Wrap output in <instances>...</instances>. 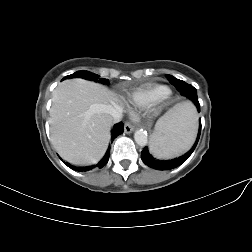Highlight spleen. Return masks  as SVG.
<instances>
[{"mask_svg":"<svg viewBox=\"0 0 252 252\" xmlns=\"http://www.w3.org/2000/svg\"><path fill=\"white\" fill-rule=\"evenodd\" d=\"M197 133V115L189 103L170 109L157 124L150 140V152L159 159H169L186 152Z\"/></svg>","mask_w":252,"mask_h":252,"instance_id":"1","label":"spleen"}]
</instances>
